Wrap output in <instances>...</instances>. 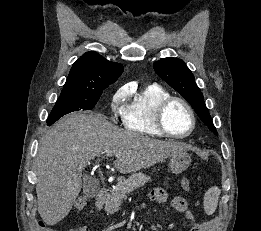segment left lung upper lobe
Here are the masks:
<instances>
[{
  "instance_id": "5c2ea615",
  "label": "left lung upper lobe",
  "mask_w": 261,
  "mask_h": 231,
  "mask_svg": "<svg viewBox=\"0 0 261 231\" xmlns=\"http://www.w3.org/2000/svg\"><path fill=\"white\" fill-rule=\"evenodd\" d=\"M156 73L179 92L194 108L200 119L217 135L204 102V97L186 64L177 58H164L154 63Z\"/></svg>"
}]
</instances>
